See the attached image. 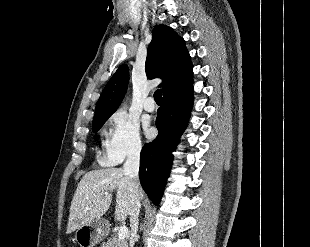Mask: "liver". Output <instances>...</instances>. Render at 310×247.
Masks as SVG:
<instances>
[{"instance_id":"obj_1","label":"liver","mask_w":310,"mask_h":247,"mask_svg":"<svg viewBox=\"0 0 310 247\" xmlns=\"http://www.w3.org/2000/svg\"><path fill=\"white\" fill-rule=\"evenodd\" d=\"M130 184V178L122 168L87 172L80 180L71 202L67 233L73 232L81 224L103 216L111 205L113 190L117 191L115 218L124 221L130 215L133 206ZM138 198H143L140 187Z\"/></svg>"}]
</instances>
